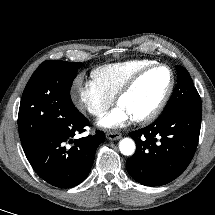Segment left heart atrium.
<instances>
[{
	"mask_svg": "<svg viewBox=\"0 0 215 215\" xmlns=\"http://www.w3.org/2000/svg\"><path fill=\"white\" fill-rule=\"evenodd\" d=\"M133 120L131 114L121 105H118L105 114L98 125L105 129H116L128 125Z\"/></svg>",
	"mask_w": 215,
	"mask_h": 215,
	"instance_id": "1",
	"label": "left heart atrium"
}]
</instances>
